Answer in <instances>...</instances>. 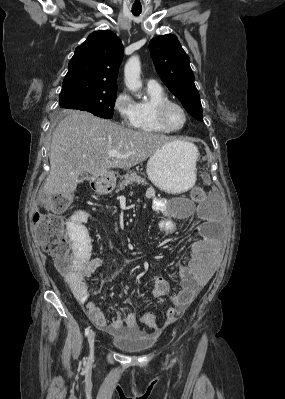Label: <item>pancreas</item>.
<instances>
[{
	"mask_svg": "<svg viewBox=\"0 0 285 399\" xmlns=\"http://www.w3.org/2000/svg\"><path fill=\"white\" fill-rule=\"evenodd\" d=\"M135 183L142 185L147 184L144 178H141L139 175H137V173L130 171L121 178V182L118 184V189L116 192L123 190L128 185H133Z\"/></svg>",
	"mask_w": 285,
	"mask_h": 399,
	"instance_id": "cf45deb5",
	"label": "pancreas"
}]
</instances>
